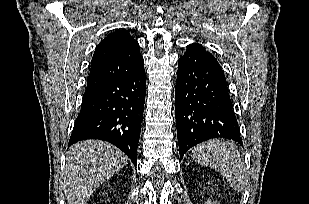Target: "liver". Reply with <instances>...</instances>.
Returning <instances> with one entry per match:
<instances>
[{
  "label": "liver",
  "instance_id": "liver-1",
  "mask_svg": "<svg viewBox=\"0 0 309 204\" xmlns=\"http://www.w3.org/2000/svg\"><path fill=\"white\" fill-rule=\"evenodd\" d=\"M126 163V156L107 142L87 140L73 145L67 153L62 184L68 204H86Z\"/></svg>",
  "mask_w": 309,
  "mask_h": 204
}]
</instances>
